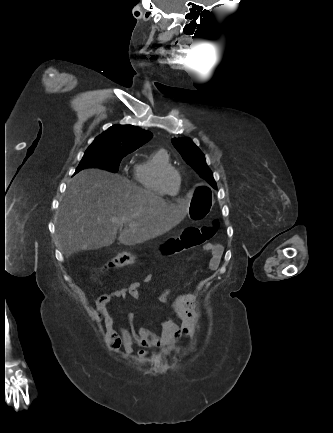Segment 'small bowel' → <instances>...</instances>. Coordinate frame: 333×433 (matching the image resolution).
Here are the masks:
<instances>
[{
  "label": "small bowel",
  "instance_id": "small-bowel-1",
  "mask_svg": "<svg viewBox=\"0 0 333 433\" xmlns=\"http://www.w3.org/2000/svg\"><path fill=\"white\" fill-rule=\"evenodd\" d=\"M206 251L211 253L209 268H218L221 259V247L218 245L204 246ZM153 279L151 274L144 276V283ZM141 282H133L127 287L120 288L105 294L96 299L94 315L97 322H102L106 331V343L112 352H119L121 349L128 355L136 354L139 358L149 355V350L164 348L180 343L184 338L194 339L198 330L197 321L201 318V306L197 296L191 293L181 294L173 299L168 298L169 290L166 288L158 295L161 303H169L179 323L171 319L160 320V335H154L144 327L135 326V314L129 312L127 319L129 325L118 324L110 313L108 305L116 299L128 297L137 299L140 297ZM117 326V328H115ZM138 346L140 349L136 350Z\"/></svg>",
  "mask_w": 333,
  "mask_h": 433
}]
</instances>
